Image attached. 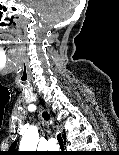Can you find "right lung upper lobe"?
Segmentation results:
<instances>
[{
    "mask_svg": "<svg viewBox=\"0 0 119 155\" xmlns=\"http://www.w3.org/2000/svg\"><path fill=\"white\" fill-rule=\"evenodd\" d=\"M16 142H13L8 150V155H20L18 151H15Z\"/></svg>",
    "mask_w": 119,
    "mask_h": 155,
    "instance_id": "right-lung-upper-lobe-1",
    "label": "right lung upper lobe"
}]
</instances>
